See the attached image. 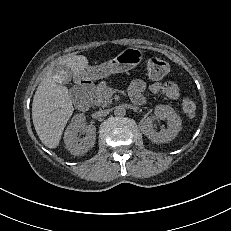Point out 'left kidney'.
Here are the masks:
<instances>
[{
    "mask_svg": "<svg viewBox=\"0 0 231 231\" xmlns=\"http://www.w3.org/2000/svg\"><path fill=\"white\" fill-rule=\"evenodd\" d=\"M155 118L166 120L167 129L156 132L153 129V119L144 117L140 121V129L152 142L154 143H167L173 140L182 128V121L180 116L174 109L168 105H158L155 108Z\"/></svg>",
    "mask_w": 231,
    "mask_h": 231,
    "instance_id": "obj_1",
    "label": "left kidney"
}]
</instances>
